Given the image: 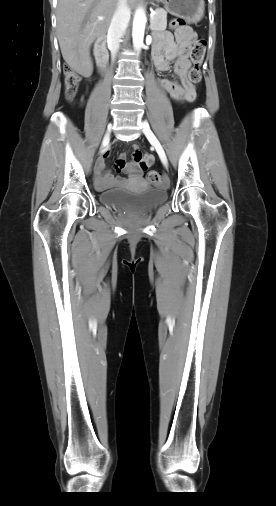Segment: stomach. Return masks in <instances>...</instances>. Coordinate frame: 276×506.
Here are the masks:
<instances>
[{"instance_id": "0dacf381", "label": "stomach", "mask_w": 276, "mask_h": 506, "mask_svg": "<svg viewBox=\"0 0 276 506\" xmlns=\"http://www.w3.org/2000/svg\"><path fill=\"white\" fill-rule=\"evenodd\" d=\"M161 2L170 14L185 18L190 22H198L204 16V0H162Z\"/></svg>"}]
</instances>
